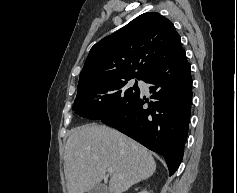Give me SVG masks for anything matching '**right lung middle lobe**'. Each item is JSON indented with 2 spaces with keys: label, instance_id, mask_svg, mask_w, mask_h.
<instances>
[{
  "label": "right lung middle lobe",
  "instance_id": "right-lung-middle-lobe-1",
  "mask_svg": "<svg viewBox=\"0 0 237 193\" xmlns=\"http://www.w3.org/2000/svg\"><path fill=\"white\" fill-rule=\"evenodd\" d=\"M130 79L106 81L77 91L73 111L88 119H103L116 114L140 94L137 82L134 86L128 84Z\"/></svg>",
  "mask_w": 237,
  "mask_h": 193
}]
</instances>
